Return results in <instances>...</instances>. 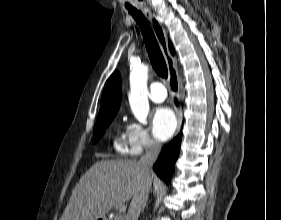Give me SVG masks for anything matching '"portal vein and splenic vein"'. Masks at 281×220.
<instances>
[{
	"mask_svg": "<svg viewBox=\"0 0 281 220\" xmlns=\"http://www.w3.org/2000/svg\"><path fill=\"white\" fill-rule=\"evenodd\" d=\"M125 210H126L125 205H120V206H119V211H120V212H124Z\"/></svg>",
	"mask_w": 281,
	"mask_h": 220,
	"instance_id": "portal-vein-and-splenic-vein-1",
	"label": "portal vein and splenic vein"
}]
</instances>
